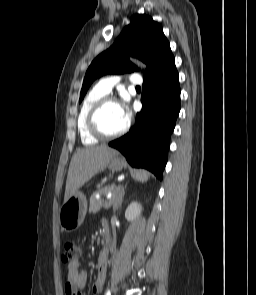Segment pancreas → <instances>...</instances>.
<instances>
[{
  "label": "pancreas",
  "mask_w": 256,
  "mask_h": 295,
  "mask_svg": "<svg viewBox=\"0 0 256 295\" xmlns=\"http://www.w3.org/2000/svg\"><path fill=\"white\" fill-rule=\"evenodd\" d=\"M120 187H116V186H111V187H105L102 188L98 191H96L91 197H90V207H89V212L90 213H96L98 212L101 208H108V204L107 202L103 201V200H98L96 198V194H107L110 190L113 191V197L112 199H114L116 197V195L118 194Z\"/></svg>",
  "instance_id": "pancreas-1"
}]
</instances>
